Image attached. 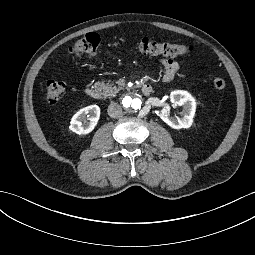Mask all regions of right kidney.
<instances>
[{
    "mask_svg": "<svg viewBox=\"0 0 255 255\" xmlns=\"http://www.w3.org/2000/svg\"><path fill=\"white\" fill-rule=\"evenodd\" d=\"M91 115L90 121L85 120L86 115ZM100 119V108L90 105L80 109L71 119L69 129L77 135H87L97 126ZM84 121V123H82Z\"/></svg>",
    "mask_w": 255,
    "mask_h": 255,
    "instance_id": "1",
    "label": "right kidney"
}]
</instances>
